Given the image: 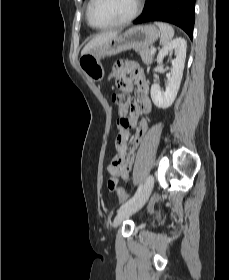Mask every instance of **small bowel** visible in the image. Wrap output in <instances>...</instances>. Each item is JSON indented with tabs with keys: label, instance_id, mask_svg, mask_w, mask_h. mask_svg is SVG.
Segmentation results:
<instances>
[{
	"label": "small bowel",
	"instance_id": "small-bowel-1",
	"mask_svg": "<svg viewBox=\"0 0 229 280\" xmlns=\"http://www.w3.org/2000/svg\"><path fill=\"white\" fill-rule=\"evenodd\" d=\"M131 71L129 77L127 73ZM109 80L114 81L121 90L130 91L135 85L136 97L133 102L124 105L119 101V95H114L113 100L118 104L119 114L126 115L130 124H135L140 115L151 116L152 104L149 97V86L144 74L133 63L116 65L112 68ZM148 128V119L142 118L138 122V126L133 134L129 131H120L115 139V148L117 154L123 156V153L129 143V154L127 158V170H110V180L116 184L121 180H127L134 160L135 152L139 143L144 137Z\"/></svg>",
	"mask_w": 229,
	"mask_h": 280
}]
</instances>
